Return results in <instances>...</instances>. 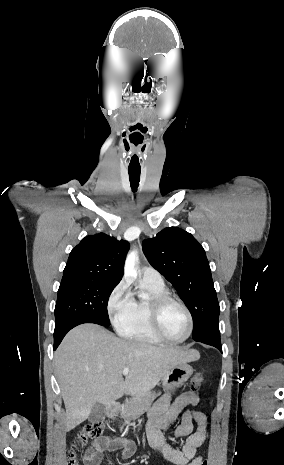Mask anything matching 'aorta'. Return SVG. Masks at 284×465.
I'll use <instances>...</instances> for the list:
<instances>
[{
	"mask_svg": "<svg viewBox=\"0 0 284 465\" xmlns=\"http://www.w3.org/2000/svg\"><path fill=\"white\" fill-rule=\"evenodd\" d=\"M138 261V253L136 250L131 251L126 258L124 266V275L126 277H136V263Z\"/></svg>",
	"mask_w": 284,
	"mask_h": 465,
	"instance_id": "1",
	"label": "aorta"
}]
</instances>
